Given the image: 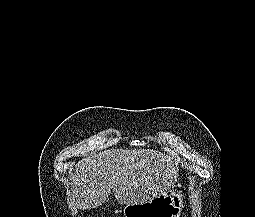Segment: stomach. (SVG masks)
Wrapping results in <instances>:
<instances>
[{
    "instance_id": "stomach-1",
    "label": "stomach",
    "mask_w": 255,
    "mask_h": 217,
    "mask_svg": "<svg viewBox=\"0 0 255 217\" xmlns=\"http://www.w3.org/2000/svg\"><path fill=\"white\" fill-rule=\"evenodd\" d=\"M183 208L181 191L169 190L142 204L125 205L124 217H180Z\"/></svg>"
}]
</instances>
